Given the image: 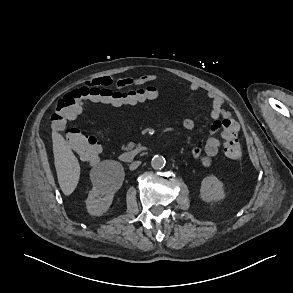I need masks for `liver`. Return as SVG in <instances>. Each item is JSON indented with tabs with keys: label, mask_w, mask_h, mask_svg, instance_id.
<instances>
[{
	"label": "liver",
	"mask_w": 293,
	"mask_h": 293,
	"mask_svg": "<svg viewBox=\"0 0 293 293\" xmlns=\"http://www.w3.org/2000/svg\"><path fill=\"white\" fill-rule=\"evenodd\" d=\"M52 141L58 183L62 192L65 195H70L78 184L80 165L70 145L61 134L53 132Z\"/></svg>",
	"instance_id": "liver-1"
}]
</instances>
